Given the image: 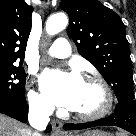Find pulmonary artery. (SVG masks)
<instances>
[{"instance_id":"1","label":"pulmonary artery","mask_w":136,"mask_h":136,"mask_svg":"<svg viewBox=\"0 0 136 136\" xmlns=\"http://www.w3.org/2000/svg\"><path fill=\"white\" fill-rule=\"evenodd\" d=\"M48 55L57 58H66L71 54V47L65 38H58L47 51Z\"/></svg>"}]
</instances>
